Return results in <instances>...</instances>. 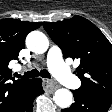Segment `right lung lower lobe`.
Wrapping results in <instances>:
<instances>
[{"label":"right lung lower lobe","mask_w":112,"mask_h":112,"mask_svg":"<svg viewBox=\"0 0 112 112\" xmlns=\"http://www.w3.org/2000/svg\"><path fill=\"white\" fill-rule=\"evenodd\" d=\"M42 93H44L42 79L31 80L10 112H32L34 99Z\"/></svg>","instance_id":"right-lung-lower-lobe-1"}]
</instances>
